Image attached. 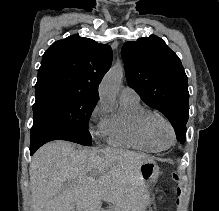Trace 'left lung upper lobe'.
Instances as JSON below:
<instances>
[{"instance_id": "1", "label": "left lung upper lobe", "mask_w": 219, "mask_h": 211, "mask_svg": "<svg viewBox=\"0 0 219 211\" xmlns=\"http://www.w3.org/2000/svg\"><path fill=\"white\" fill-rule=\"evenodd\" d=\"M122 57L128 85L144 103L171 122L177 140H186L189 117L188 80L179 57L157 36L126 42Z\"/></svg>"}]
</instances>
